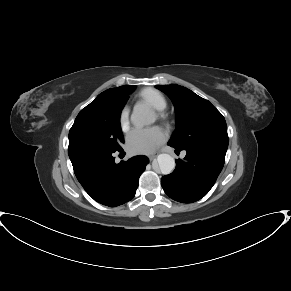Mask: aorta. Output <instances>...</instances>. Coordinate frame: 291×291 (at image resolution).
Returning <instances> with one entry per match:
<instances>
[{
	"mask_svg": "<svg viewBox=\"0 0 291 291\" xmlns=\"http://www.w3.org/2000/svg\"><path fill=\"white\" fill-rule=\"evenodd\" d=\"M155 116L152 110L145 104H136L131 114V122L138 127L150 125L154 123ZM157 165L161 173L168 175L172 173L175 168V160L169 154H159L157 157Z\"/></svg>",
	"mask_w": 291,
	"mask_h": 291,
	"instance_id": "1",
	"label": "aorta"
}]
</instances>
